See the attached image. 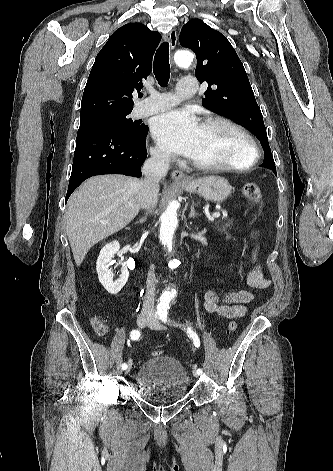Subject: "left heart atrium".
<instances>
[{"instance_id": "left-heart-atrium-1", "label": "left heart atrium", "mask_w": 333, "mask_h": 471, "mask_svg": "<svg viewBox=\"0 0 333 471\" xmlns=\"http://www.w3.org/2000/svg\"><path fill=\"white\" fill-rule=\"evenodd\" d=\"M200 125L193 112L172 110L157 117L152 132L167 151L191 157L199 136Z\"/></svg>"}]
</instances>
